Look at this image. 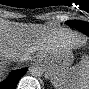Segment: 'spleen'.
I'll list each match as a JSON object with an SVG mask.
<instances>
[{
  "instance_id": "obj_1",
  "label": "spleen",
  "mask_w": 89,
  "mask_h": 89,
  "mask_svg": "<svg viewBox=\"0 0 89 89\" xmlns=\"http://www.w3.org/2000/svg\"><path fill=\"white\" fill-rule=\"evenodd\" d=\"M48 78L57 89H87L89 87V58L84 56L72 67L49 73Z\"/></svg>"
}]
</instances>
